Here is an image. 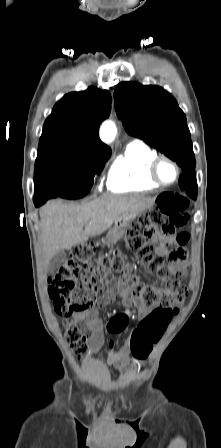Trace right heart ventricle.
I'll use <instances>...</instances> for the list:
<instances>
[{
	"label": "right heart ventricle",
	"instance_id": "right-heart-ventricle-1",
	"mask_svg": "<svg viewBox=\"0 0 221 448\" xmlns=\"http://www.w3.org/2000/svg\"><path fill=\"white\" fill-rule=\"evenodd\" d=\"M157 156L153 149L143 143L129 144L110 167L108 189L125 193L160 188L149 177L150 164Z\"/></svg>",
	"mask_w": 221,
	"mask_h": 448
}]
</instances>
